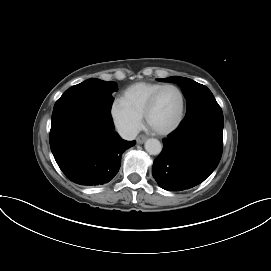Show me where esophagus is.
<instances>
[{
	"label": "esophagus",
	"instance_id": "esophagus-1",
	"mask_svg": "<svg viewBox=\"0 0 271 271\" xmlns=\"http://www.w3.org/2000/svg\"><path fill=\"white\" fill-rule=\"evenodd\" d=\"M146 139H147V137L145 135H140V136L137 137L136 142L138 144H142V143L145 142Z\"/></svg>",
	"mask_w": 271,
	"mask_h": 271
}]
</instances>
